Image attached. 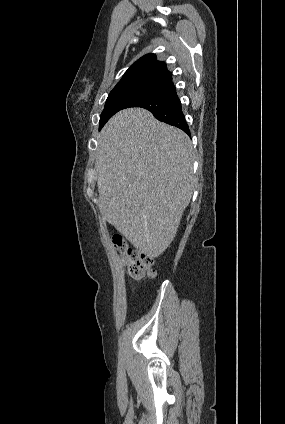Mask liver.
Instances as JSON below:
<instances>
[{
	"instance_id": "1",
	"label": "liver",
	"mask_w": 285,
	"mask_h": 424,
	"mask_svg": "<svg viewBox=\"0 0 285 424\" xmlns=\"http://www.w3.org/2000/svg\"><path fill=\"white\" fill-rule=\"evenodd\" d=\"M187 134L142 108L118 112L97 138L95 169L105 220L136 249L161 255L194 190Z\"/></svg>"
}]
</instances>
